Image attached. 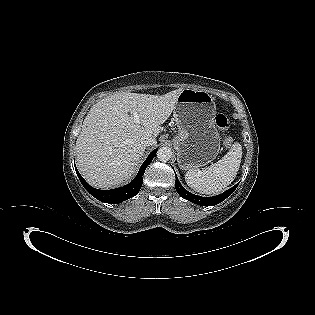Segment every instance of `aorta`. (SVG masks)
Listing matches in <instances>:
<instances>
[{
	"instance_id": "aorta-1",
	"label": "aorta",
	"mask_w": 315,
	"mask_h": 315,
	"mask_svg": "<svg viewBox=\"0 0 315 315\" xmlns=\"http://www.w3.org/2000/svg\"><path fill=\"white\" fill-rule=\"evenodd\" d=\"M172 156V151L169 147H161L157 151V158L162 162H167Z\"/></svg>"
}]
</instances>
